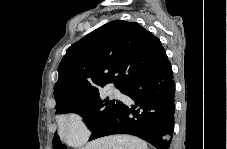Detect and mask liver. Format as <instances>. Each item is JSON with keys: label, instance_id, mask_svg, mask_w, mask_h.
Here are the masks:
<instances>
[{"label": "liver", "instance_id": "6515ba94", "mask_svg": "<svg viewBox=\"0 0 227 149\" xmlns=\"http://www.w3.org/2000/svg\"><path fill=\"white\" fill-rule=\"evenodd\" d=\"M83 149H147V144L131 135H111L96 139Z\"/></svg>", "mask_w": 227, "mask_h": 149}]
</instances>
